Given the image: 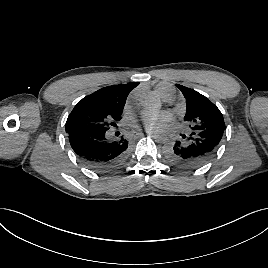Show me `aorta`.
Here are the masks:
<instances>
[{"label": "aorta", "instance_id": "1", "mask_svg": "<svg viewBox=\"0 0 268 268\" xmlns=\"http://www.w3.org/2000/svg\"><path fill=\"white\" fill-rule=\"evenodd\" d=\"M143 105L150 109H157L159 107V102L154 97H148L143 100ZM154 139L157 143L162 144L166 141L167 136L162 131H157L154 134Z\"/></svg>", "mask_w": 268, "mask_h": 268}]
</instances>
